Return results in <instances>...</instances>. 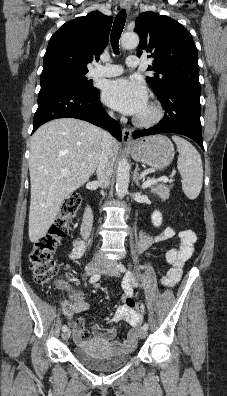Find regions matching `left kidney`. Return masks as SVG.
Listing matches in <instances>:
<instances>
[{"mask_svg":"<svg viewBox=\"0 0 227 396\" xmlns=\"http://www.w3.org/2000/svg\"><path fill=\"white\" fill-rule=\"evenodd\" d=\"M152 224L155 227H159L162 224V214L159 211H154L151 215Z\"/></svg>","mask_w":227,"mask_h":396,"instance_id":"obj_1","label":"left kidney"}]
</instances>
